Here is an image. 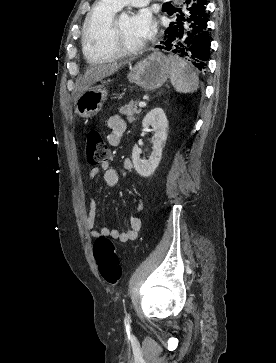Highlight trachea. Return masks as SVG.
I'll return each mask as SVG.
<instances>
[{"instance_id":"1","label":"trachea","mask_w":276,"mask_h":363,"mask_svg":"<svg viewBox=\"0 0 276 363\" xmlns=\"http://www.w3.org/2000/svg\"><path fill=\"white\" fill-rule=\"evenodd\" d=\"M168 5H170V2H166L163 4V6H168Z\"/></svg>"}]
</instances>
